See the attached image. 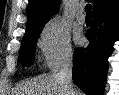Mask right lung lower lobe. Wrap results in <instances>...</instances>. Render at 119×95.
Returning a JSON list of instances; mask_svg holds the SVG:
<instances>
[{
    "instance_id": "obj_1",
    "label": "right lung lower lobe",
    "mask_w": 119,
    "mask_h": 95,
    "mask_svg": "<svg viewBox=\"0 0 119 95\" xmlns=\"http://www.w3.org/2000/svg\"><path fill=\"white\" fill-rule=\"evenodd\" d=\"M90 44L73 55V81L87 95H103L108 58L119 38V4L93 16L86 33Z\"/></svg>"
}]
</instances>
